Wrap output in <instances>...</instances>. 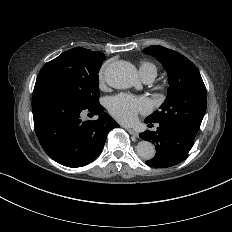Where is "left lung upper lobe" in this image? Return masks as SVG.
Returning a JSON list of instances; mask_svg holds the SVG:
<instances>
[{
  "label": "left lung upper lobe",
  "mask_w": 232,
  "mask_h": 232,
  "mask_svg": "<svg viewBox=\"0 0 232 232\" xmlns=\"http://www.w3.org/2000/svg\"><path fill=\"white\" fill-rule=\"evenodd\" d=\"M143 52L156 57L168 73L167 98L146 119L152 123L176 126L195 138L207 105V93L197 67L180 53L162 46H149Z\"/></svg>",
  "instance_id": "1"
}]
</instances>
